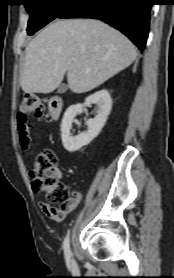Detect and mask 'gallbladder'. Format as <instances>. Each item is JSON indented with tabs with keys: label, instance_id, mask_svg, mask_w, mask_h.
I'll list each match as a JSON object with an SVG mask.
<instances>
[{
	"label": "gallbladder",
	"instance_id": "gallbladder-1",
	"mask_svg": "<svg viewBox=\"0 0 174 278\" xmlns=\"http://www.w3.org/2000/svg\"><path fill=\"white\" fill-rule=\"evenodd\" d=\"M67 89H68L67 85L62 84V85L59 86L57 92H58L59 94H63V93H65V92L67 91Z\"/></svg>",
	"mask_w": 174,
	"mask_h": 278
}]
</instances>
